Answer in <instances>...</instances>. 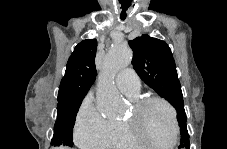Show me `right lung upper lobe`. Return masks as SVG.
Instances as JSON below:
<instances>
[{
	"label": "right lung upper lobe",
	"mask_w": 227,
	"mask_h": 149,
	"mask_svg": "<svg viewBox=\"0 0 227 149\" xmlns=\"http://www.w3.org/2000/svg\"><path fill=\"white\" fill-rule=\"evenodd\" d=\"M96 48V39L83 40L74 48L59 87V103L85 97L96 77Z\"/></svg>",
	"instance_id": "right-lung-upper-lobe-1"
}]
</instances>
